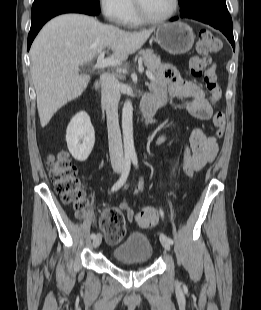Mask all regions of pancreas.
<instances>
[{
    "label": "pancreas",
    "instance_id": "1",
    "mask_svg": "<svg viewBox=\"0 0 261 310\" xmlns=\"http://www.w3.org/2000/svg\"><path fill=\"white\" fill-rule=\"evenodd\" d=\"M143 61L145 65L148 67V69L153 72L154 74V81L149 85L151 90L155 89L156 84L159 81V72L158 69L161 66L160 58L157 57L156 54L153 53L151 50H144L141 52ZM120 78L122 76L120 75Z\"/></svg>",
    "mask_w": 261,
    "mask_h": 310
}]
</instances>
